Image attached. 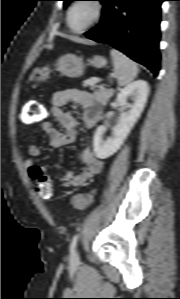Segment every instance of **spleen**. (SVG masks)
<instances>
[{"instance_id": "spleen-1", "label": "spleen", "mask_w": 180, "mask_h": 299, "mask_svg": "<svg viewBox=\"0 0 180 299\" xmlns=\"http://www.w3.org/2000/svg\"><path fill=\"white\" fill-rule=\"evenodd\" d=\"M113 61L114 77L120 86L129 85L138 74L137 64L116 49L110 51Z\"/></svg>"}]
</instances>
